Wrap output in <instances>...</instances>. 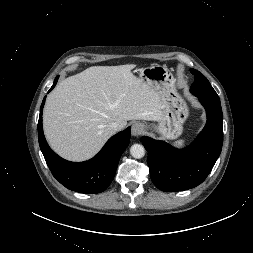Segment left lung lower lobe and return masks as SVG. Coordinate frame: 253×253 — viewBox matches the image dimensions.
Masks as SVG:
<instances>
[{
  "mask_svg": "<svg viewBox=\"0 0 253 253\" xmlns=\"http://www.w3.org/2000/svg\"><path fill=\"white\" fill-rule=\"evenodd\" d=\"M198 97V96H197ZM207 113V123L197 139L185 149L143 136L148 151L150 176L155 186L165 192L194 188L212 170L222 149L223 114L219 99L198 97Z\"/></svg>",
  "mask_w": 253,
  "mask_h": 253,
  "instance_id": "left-lung-lower-lobe-1",
  "label": "left lung lower lobe"
}]
</instances>
